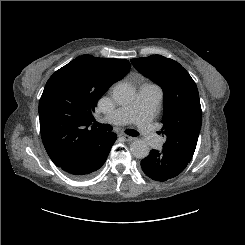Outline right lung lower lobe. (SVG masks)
Wrapping results in <instances>:
<instances>
[{
  "label": "right lung lower lobe",
  "instance_id": "1",
  "mask_svg": "<svg viewBox=\"0 0 245 245\" xmlns=\"http://www.w3.org/2000/svg\"><path fill=\"white\" fill-rule=\"evenodd\" d=\"M116 139L114 133L102 131L89 139L72 157L58 167L74 178H88L104 164Z\"/></svg>",
  "mask_w": 245,
  "mask_h": 245
}]
</instances>
